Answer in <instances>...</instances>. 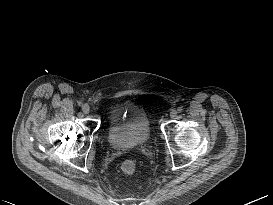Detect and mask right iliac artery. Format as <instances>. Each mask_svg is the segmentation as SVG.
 <instances>
[{
  "label": "right iliac artery",
  "instance_id": "82829eb1",
  "mask_svg": "<svg viewBox=\"0 0 273 205\" xmlns=\"http://www.w3.org/2000/svg\"><path fill=\"white\" fill-rule=\"evenodd\" d=\"M82 104H83V103H82L81 101L78 102V105H79V106H82Z\"/></svg>",
  "mask_w": 273,
  "mask_h": 205
}]
</instances>
